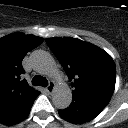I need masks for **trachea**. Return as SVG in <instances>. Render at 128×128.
I'll list each match as a JSON object with an SVG mask.
<instances>
[{
  "label": "trachea",
  "instance_id": "trachea-1",
  "mask_svg": "<svg viewBox=\"0 0 128 128\" xmlns=\"http://www.w3.org/2000/svg\"><path fill=\"white\" fill-rule=\"evenodd\" d=\"M32 84L35 86L46 87L48 85V81L45 77H42L40 75H35L32 79Z\"/></svg>",
  "mask_w": 128,
  "mask_h": 128
}]
</instances>
